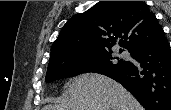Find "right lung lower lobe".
Segmentation results:
<instances>
[{"instance_id":"obj_1","label":"right lung lower lobe","mask_w":171,"mask_h":110,"mask_svg":"<svg viewBox=\"0 0 171 110\" xmlns=\"http://www.w3.org/2000/svg\"><path fill=\"white\" fill-rule=\"evenodd\" d=\"M131 56L138 64L105 75L121 83L145 110H171V48L166 37L131 52Z\"/></svg>"}]
</instances>
